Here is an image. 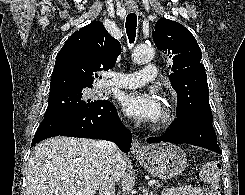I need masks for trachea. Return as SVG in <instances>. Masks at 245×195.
Returning <instances> with one entry per match:
<instances>
[{"mask_svg": "<svg viewBox=\"0 0 245 195\" xmlns=\"http://www.w3.org/2000/svg\"><path fill=\"white\" fill-rule=\"evenodd\" d=\"M126 33L130 43H133L136 37L137 16L135 13H129L126 17Z\"/></svg>", "mask_w": 245, "mask_h": 195, "instance_id": "1", "label": "trachea"}]
</instances>
